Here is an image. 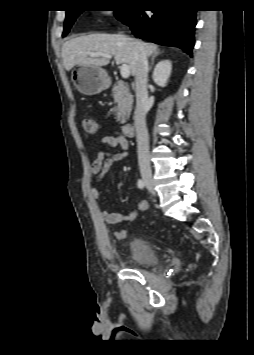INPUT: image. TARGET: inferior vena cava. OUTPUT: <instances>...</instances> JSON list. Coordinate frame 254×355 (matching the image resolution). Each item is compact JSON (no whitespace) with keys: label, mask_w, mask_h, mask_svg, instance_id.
Listing matches in <instances>:
<instances>
[{"label":"inferior vena cava","mask_w":254,"mask_h":355,"mask_svg":"<svg viewBox=\"0 0 254 355\" xmlns=\"http://www.w3.org/2000/svg\"><path fill=\"white\" fill-rule=\"evenodd\" d=\"M147 81L148 61L145 54L140 53L137 58L134 83L136 93V109L134 113V121L137 133L138 163L141 169H150L149 135L146 126V114L149 110Z\"/></svg>","instance_id":"1"}]
</instances>
